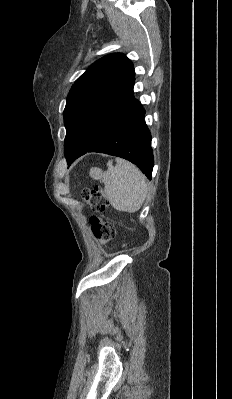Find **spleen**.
Segmentation results:
<instances>
[{
	"instance_id": "1",
	"label": "spleen",
	"mask_w": 232,
	"mask_h": 399,
	"mask_svg": "<svg viewBox=\"0 0 232 399\" xmlns=\"http://www.w3.org/2000/svg\"><path fill=\"white\" fill-rule=\"evenodd\" d=\"M89 176L102 180L106 198L119 211H138L147 198V180L137 166L116 158V166H109L107 172L91 168Z\"/></svg>"
}]
</instances>
